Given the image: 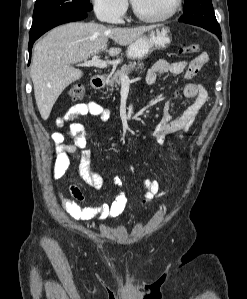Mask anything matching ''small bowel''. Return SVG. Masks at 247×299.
Listing matches in <instances>:
<instances>
[{"label": "small bowel", "instance_id": "small-bowel-1", "mask_svg": "<svg viewBox=\"0 0 247 299\" xmlns=\"http://www.w3.org/2000/svg\"><path fill=\"white\" fill-rule=\"evenodd\" d=\"M208 62V54L201 53L192 61L168 62L166 60L157 61L146 74V83L154 84L160 74H183L184 82L175 92L173 98L182 93L185 97L191 99V104L178 116L174 118L169 103L164 106L160 122L154 128L152 135L156 141L163 145L168 134L175 132H187L201 108L208 99V93L202 84L192 83L201 68ZM86 115L99 117L102 121H107L111 117L109 109L104 108L95 101L78 103L71 106L63 115L55 121L56 126L61 128L66 123L69 124V132L72 136V143H65L63 133L56 131L51 137L55 144L56 160L54 164V176L60 178L67 171L71 162V155L77 150H82L81 163L78 168L77 178L88 187L99 190L104 185L102 176L91 166V151L86 149L87 138L84 126L78 120ZM114 184L118 188V193L111 203H99L97 205H82L84 196L78 183L70 185L69 191L71 198H67L63 193L58 192V197L66 212L77 220H82L91 224L94 220L102 222L109 218H115L122 214L127 205V198L122 188V179L115 176ZM145 188L144 199L142 204H148L155 198L164 195L160 192V184L155 179H145L143 181Z\"/></svg>", "mask_w": 247, "mask_h": 299}]
</instances>
